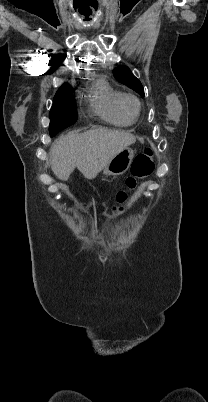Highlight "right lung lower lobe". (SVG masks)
Listing matches in <instances>:
<instances>
[{
    "label": "right lung lower lobe",
    "mask_w": 208,
    "mask_h": 402,
    "mask_svg": "<svg viewBox=\"0 0 208 402\" xmlns=\"http://www.w3.org/2000/svg\"><path fill=\"white\" fill-rule=\"evenodd\" d=\"M66 128V126L59 124V123H51L49 126V133L50 136L53 137L55 136L59 131L63 130Z\"/></svg>",
    "instance_id": "1"
}]
</instances>
